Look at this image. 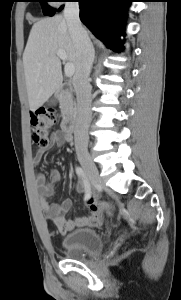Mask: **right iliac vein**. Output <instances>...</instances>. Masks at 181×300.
<instances>
[{
    "instance_id": "63e3f726",
    "label": "right iliac vein",
    "mask_w": 181,
    "mask_h": 300,
    "mask_svg": "<svg viewBox=\"0 0 181 300\" xmlns=\"http://www.w3.org/2000/svg\"><path fill=\"white\" fill-rule=\"evenodd\" d=\"M78 160L82 167L84 168L88 178L93 182V183H98L100 178H99V172L98 169L91 159L89 153L87 152H79L77 154Z\"/></svg>"
}]
</instances>
